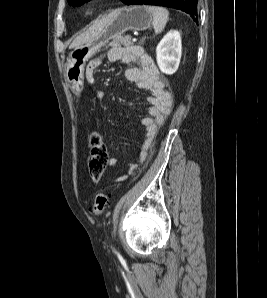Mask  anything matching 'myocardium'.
Listing matches in <instances>:
<instances>
[{"label":"myocardium","mask_w":267,"mask_h":298,"mask_svg":"<svg viewBox=\"0 0 267 298\" xmlns=\"http://www.w3.org/2000/svg\"><path fill=\"white\" fill-rule=\"evenodd\" d=\"M100 4V0H92L91 1V9L96 8L97 6H99Z\"/></svg>","instance_id":"myocardium-1"}]
</instances>
